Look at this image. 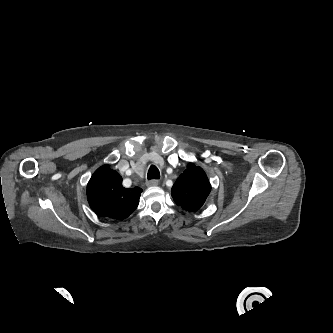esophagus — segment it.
Returning <instances> with one entry per match:
<instances>
[{"instance_id":"obj_1","label":"esophagus","mask_w":333,"mask_h":333,"mask_svg":"<svg viewBox=\"0 0 333 333\" xmlns=\"http://www.w3.org/2000/svg\"><path fill=\"white\" fill-rule=\"evenodd\" d=\"M158 184H159V181L156 180V179L149 180V181H147V183H146V185H147L148 187L157 186Z\"/></svg>"}]
</instances>
